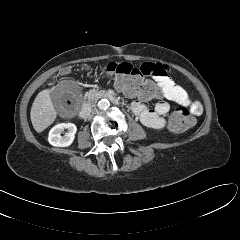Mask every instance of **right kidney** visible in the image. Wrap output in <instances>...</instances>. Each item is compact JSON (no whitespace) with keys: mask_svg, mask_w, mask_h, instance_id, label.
I'll return each instance as SVG.
<instances>
[{"mask_svg":"<svg viewBox=\"0 0 240 240\" xmlns=\"http://www.w3.org/2000/svg\"><path fill=\"white\" fill-rule=\"evenodd\" d=\"M67 130L65 136H61V133ZM77 131L76 125L73 123H60L55 125L49 132L48 141L52 146L67 147L72 144Z\"/></svg>","mask_w":240,"mask_h":240,"instance_id":"right-kidney-1","label":"right kidney"}]
</instances>
